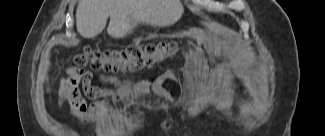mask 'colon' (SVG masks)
<instances>
[{"instance_id": "5ec220e1", "label": "colon", "mask_w": 325, "mask_h": 136, "mask_svg": "<svg viewBox=\"0 0 325 136\" xmlns=\"http://www.w3.org/2000/svg\"><path fill=\"white\" fill-rule=\"evenodd\" d=\"M176 53L174 43L148 44L145 46H129L124 50L93 51L86 47L78 54L75 61L78 65H87L94 70L105 72L136 71L153 63L173 57Z\"/></svg>"}]
</instances>
